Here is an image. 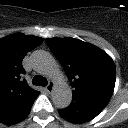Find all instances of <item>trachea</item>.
<instances>
[{"instance_id": "obj_1", "label": "trachea", "mask_w": 128, "mask_h": 128, "mask_svg": "<svg viewBox=\"0 0 128 128\" xmlns=\"http://www.w3.org/2000/svg\"><path fill=\"white\" fill-rule=\"evenodd\" d=\"M32 83L36 86H46L48 84V81L46 78L40 75H35L33 77Z\"/></svg>"}]
</instances>
